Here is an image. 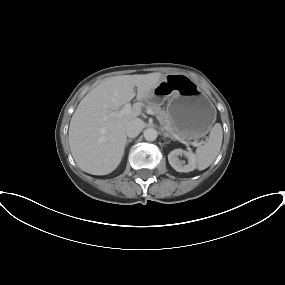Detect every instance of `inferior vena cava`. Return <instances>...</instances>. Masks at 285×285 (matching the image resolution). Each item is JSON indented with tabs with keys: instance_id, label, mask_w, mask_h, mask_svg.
<instances>
[{
	"instance_id": "inferior-vena-cava-1",
	"label": "inferior vena cava",
	"mask_w": 285,
	"mask_h": 285,
	"mask_svg": "<svg viewBox=\"0 0 285 285\" xmlns=\"http://www.w3.org/2000/svg\"><path fill=\"white\" fill-rule=\"evenodd\" d=\"M144 126V122L139 118L132 119L126 126V135L134 138L139 135Z\"/></svg>"
}]
</instances>
